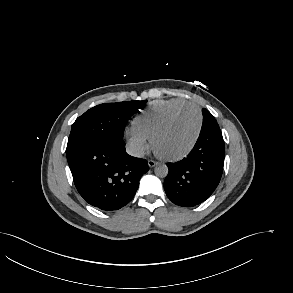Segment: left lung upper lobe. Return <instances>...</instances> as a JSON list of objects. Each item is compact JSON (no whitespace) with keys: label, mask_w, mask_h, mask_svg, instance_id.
Wrapping results in <instances>:
<instances>
[{"label":"left lung upper lobe","mask_w":293,"mask_h":293,"mask_svg":"<svg viewBox=\"0 0 293 293\" xmlns=\"http://www.w3.org/2000/svg\"><path fill=\"white\" fill-rule=\"evenodd\" d=\"M219 128V125L214 118V116L207 110L203 109V125L201 128L202 131H206L208 129Z\"/></svg>","instance_id":"5c2ea615"}]
</instances>
